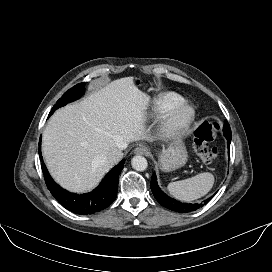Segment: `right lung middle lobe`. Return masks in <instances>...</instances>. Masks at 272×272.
<instances>
[{"mask_svg": "<svg viewBox=\"0 0 272 272\" xmlns=\"http://www.w3.org/2000/svg\"><path fill=\"white\" fill-rule=\"evenodd\" d=\"M84 87L85 83H79L72 87L71 89H69L67 92H65L63 96L57 101V103L53 106L52 110L49 113V116L53 114V112L59 107H62L67 103L79 99L85 92Z\"/></svg>", "mask_w": 272, "mask_h": 272, "instance_id": "1", "label": "right lung middle lobe"}]
</instances>
